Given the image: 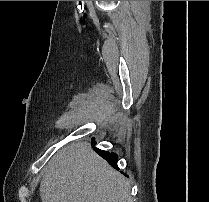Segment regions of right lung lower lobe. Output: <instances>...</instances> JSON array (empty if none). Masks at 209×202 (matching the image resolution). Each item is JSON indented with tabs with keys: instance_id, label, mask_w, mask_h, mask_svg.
Here are the masks:
<instances>
[{
	"instance_id": "right-lung-lower-lobe-1",
	"label": "right lung lower lobe",
	"mask_w": 209,
	"mask_h": 202,
	"mask_svg": "<svg viewBox=\"0 0 209 202\" xmlns=\"http://www.w3.org/2000/svg\"><path fill=\"white\" fill-rule=\"evenodd\" d=\"M95 144H96L95 140L92 139V146L94 147ZM96 152L101 157H103L111 166L118 169V166H117L118 156L115 153H109L107 151H102V150H99V149H96Z\"/></svg>"
}]
</instances>
